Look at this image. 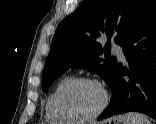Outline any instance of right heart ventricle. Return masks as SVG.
I'll return each instance as SVG.
<instances>
[{"label":"right heart ventricle","instance_id":"right-heart-ventricle-1","mask_svg":"<svg viewBox=\"0 0 156 124\" xmlns=\"http://www.w3.org/2000/svg\"><path fill=\"white\" fill-rule=\"evenodd\" d=\"M73 79V76L71 74H66L63 77H61L57 83L54 85L52 90L47 96L46 103H45V110L44 115L45 119L48 123L51 124H70L68 120L62 118L55 110L54 107V99L58 92V90L68 81Z\"/></svg>","mask_w":156,"mask_h":124}]
</instances>
